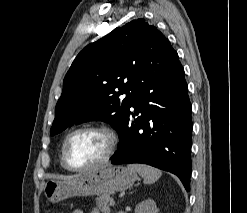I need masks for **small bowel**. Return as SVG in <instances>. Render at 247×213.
<instances>
[{"instance_id": "c3829d8e", "label": "small bowel", "mask_w": 247, "mask_h": 213, "mask_svg": "<svg viewBox=\"0 0 247 213\" xmlns=\"http://www.w3.org/2000/svg\"><path fill=\"white\" fill-rule=\"evenodd\" d=\"M72 213H83L80 209H75ZM91 213H99L97 210H93Z\"/></svg>"}]
</instances>
